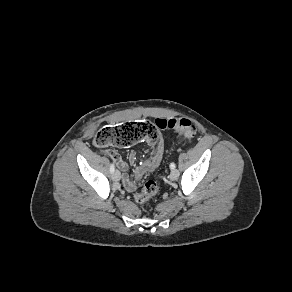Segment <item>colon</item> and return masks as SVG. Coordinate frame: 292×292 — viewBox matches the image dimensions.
<instances>
[{
    "label": "colon",
    "instance_id": "obj_1",
    "mask_svg": "<svg viewBox=\"0 0 292 292\" xmlns=\"http://www.w3.org/2000/svg\"><path fill=\"white\" fill-rule=\"evenodd\" d=\"M162 128L173 129L179 139L187 141H190L196 133L195 126L185 118L157 120L156 122L143 119L104 125L95 135L93 142L98 147H123L141 140L156 141L159 138V130ZM158 191V181L149 180L139 192L134 194V199L137 203L143 204Z\"/></svg>",
    "mask_w": 292,
    "mask_h": 292
}]
</instances>
